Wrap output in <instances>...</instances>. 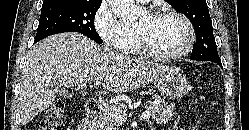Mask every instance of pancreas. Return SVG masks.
<instances>
[{"label": "pancreas", "instance_id": "cf45deb5", "mask_svg": "<svg viewBox=\"0 0 249 130\" xmlns=\"http://www.w3.org/2000/svg\"><path fill=\"white\" fill-rule=\"evenodd\" d=\"M155 101L156 102H149L145 108L151 111V117L157 124L167 123L175 114L174 106L168 105V103L159 96H155ZM114 106L121 109L123 112L127 111V106L125 104H118ZM112 107L113 106H107L102 109L101 116L98 120L99 130H120L122 123L112 114Z\"/></svg>", "mask_w": 249, "mask_h": 130}]
</instances>
